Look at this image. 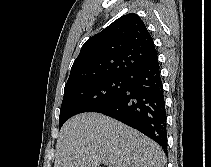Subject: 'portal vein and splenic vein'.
<instances>
[{
  "instance_id": "obj_1",
  "label": "portal vein and splenic vein",
  "mask_w": 211,
  "mask_h": 167,
  "mask_svg": "<svg viewBox=\"0 0 211 167\" xmlns=\"http://www.w3.org/2000/svg\"><path fill=\"white\" fill-rule=\"evenodd\" d=\"M103 163L106 164V165H108V162L107 161H103Z\"/></svg>"
}]
</instances>
